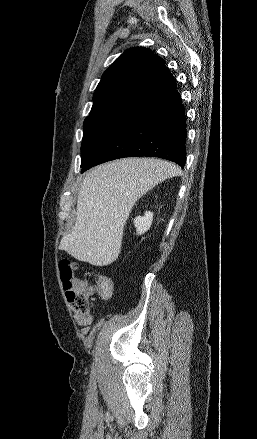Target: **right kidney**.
Masks as SVG:
<instances>
[{
    "mask_svg": "<svg viewBox=\"0 0 257 439\" xmlns=\"http://www.w3.org/2000/svg\"><path fill=\"white\" fill-rule=\"evenodd\" d=\"M153 221V212L146 211L144 216H137L134 219V225L138 235L144 234L149 230Z\"/></svg>",
    "mask_w": 257,
    "mask_h": 439,
    "instance_id": "1",
    "label": "right kidney"
}]
</instances>
